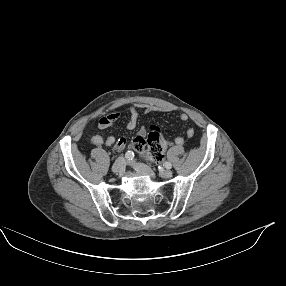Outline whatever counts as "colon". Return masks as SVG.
I'll use <instances>...</instances> for the list:
<instances>
[{
    "label": "colon",
    "instance_id": "5ec220e1",
    "mask_svg": "<svg viewBox=\"0 0 286 286\" xmlns=\"http://www.w3.org/2000/svg\"><path fill=\"white\" fill-rule=\"evenodd\" d=\"M164 140L165 138L163 137L161 130L156 126H152L147 136H137L132 140L131 145L137 152L141 154L148 149L149 153L153 157L160 158L165 150L163 145ZM125 144V140L119 139L116 142V147H124Z\"/></svg>",
    "mask_w": 286,
    "mask_h": 286
}]
</instances>
